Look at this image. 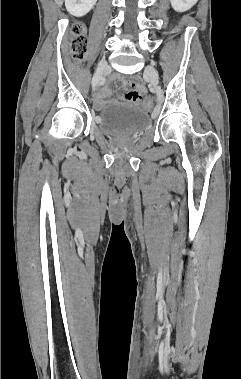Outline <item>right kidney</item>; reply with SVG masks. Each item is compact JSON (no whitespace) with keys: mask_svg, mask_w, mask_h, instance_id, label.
<instances>
[{"mask_svg":"<svg viewBox=\"0 0 241 379\" xmlns=\"http://www.w3.org/2000/svg\"><path fill=\"white\" fill-rule=\"evenodd\" d=\"M97 0H65L67 11L76 16L86 15L96 4Z\"/></svg>","mask_w":241,"mask_h":379,"instance_id":"obj_1","label":"right kidney"}]
</instances>
